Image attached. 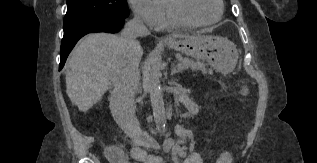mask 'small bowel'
I'll list each match as a JSON object with an SVG mask.
<instances>
[{"instance_id": "1", "label": "small bowel", "mask_w": 317, "mask_h": 163, "mask_svg": "<svg viewBox=\"0 0 317 163\" xmlns=\"http://www.w3.org/2000/svg\"><path fill=\"white\" fill-rule=\"evenodd\" d=\"M190 113L196 114L197 108L194 105L189 104L188 106ZM178 140H168L164 148L167 152H170L173 156V163H204L203 155L195 152L190 145H184L185 143L190 144L192 140L191 133L186 130L183 126L178 125L176 127ZM106 156L110 163H129L127 156L122 152L119 156H111L106 151ZM131 157L134 159V163H165V160L161 156L148 154L140 147L131 149Z\"/></svg>"}]
</instances>
